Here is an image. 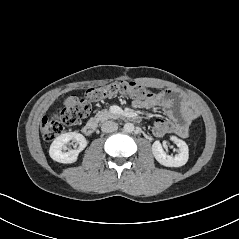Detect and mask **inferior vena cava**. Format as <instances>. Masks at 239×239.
I'll use <instances>...</instances> for the list:
<instances>
[{
    "mask_svg": "<svg viewBox=\"0 0 239 239\" xmlns=\"http://www.w3.org/2000/svg\"><path fill=\"white\" fill-rule=\"evenodd\" d=\"M118 129L117 123L114 121H106L102 124L101 130L105 133H112Z\"/></svg>",
    "mask_w": 239,
    "mask_h": 239,
    "instance_id": "602c4592",
    "label": "inferior vena cava"
}]
</instances>
